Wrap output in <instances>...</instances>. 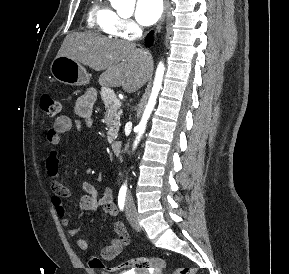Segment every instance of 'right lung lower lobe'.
Instances as JSON below:
<instances>
[{"mask_svg":"<svg viewBox=\"0 0 289 274\" xmlns=\"http://www.w3.org/2000/svg\"><path fill=\"white\" fill-rule=\"evenodd\" d=\"M152 35H153V31H151L148 35H147V38L145 39V44L146 46H150V44L152 43Z\"/></svg>","mask_w":289,"mask_h":274,"instance_id":"98d812e1","label":"right lung lower lobe"}]
</instances>
